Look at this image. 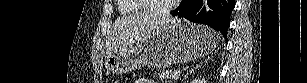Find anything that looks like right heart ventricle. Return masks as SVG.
Returning a JSON list of instances; mask_svg holds the SVG:
<instances>
[{"label": "right heart ventricle", "instance_id": "obj_1", "mask_svg": "<svg viewBox=\"0 0 307 83\" xmlns=\"http://www.w3.org/2000/svg\"><path fill=\"white\" fill-rule=\"evenodd\" d=\"M145 11L140 5L134 0H119L118 1V12L120 14H131L140 11Z\"/></svg>", "mask_w": 307, "mask_h": 83}]
</instances>
